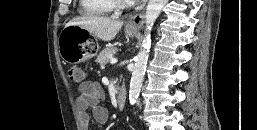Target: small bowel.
Masks as SVG:
<instances>
[{"mask_svg": "<svg viewBox=\"0 0 257 130\" xmlns=\"http://www.w3.org/2000/svg\"><path fill=\"white\" fill-rule=\"evenodd\" d=\"M79 95L76 99V107L79 112L81 127L83 130H90V116L88 110H92L94 120L98 124H104L109 117L106 107L100 105V100L104 97L100 84L94 81L82 82L78 87Z\"/></svg>", "mask_w": 257, "mask_h": 130, "instance_id": "c3829d8e", "label": "small bowel"}]
</instances>
